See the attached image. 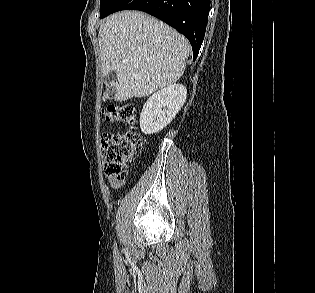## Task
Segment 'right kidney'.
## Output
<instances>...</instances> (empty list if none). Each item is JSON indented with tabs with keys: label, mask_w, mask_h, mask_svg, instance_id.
I'll list each match as a JSON object with an SVG mask.
<instances>
[{
	"label": "right kidney",
	"mask_w": 315,
	"mask_h": 293,
	"mask_svg": "<svg viewBox=\"0 0 315 293\" xmlns=\"http://www.w3.org/2000/svg\"><path fill=\"white\" fill-rule=\"evenodd\" d=\"M187 96V89L181 84L169 85L154 93L143 106L140 128L146 135L163 130L177 115Z\"/></svg>",
	"instance_id": "obj_1"
}]
</instances>
